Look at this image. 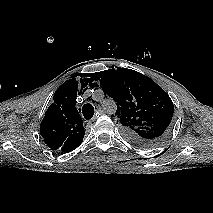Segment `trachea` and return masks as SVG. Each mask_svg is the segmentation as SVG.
<instances>
[{
    "mask_svg": "<svg viewBox=\"0 0 213 213\" xmlns=\"http://www.w3.org/2000/svg\"><path fill=\"white\" fill-rule=\"evenodd\" d=\"M82 113L84 118L89 120L94 115V107L91 104L87 103L82 107Z\"/></svg>",
    "mask_w": 213,
    "mask_h": 213,
    "instance_id": "trachea-1",
    "label": "trachea"
}]
</instances>
